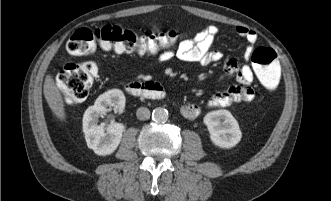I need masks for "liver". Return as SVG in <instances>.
<instances>
[{"instance_id": "liver-1", "label": "liver", "mask_w": 331, "mask_h": 201, "mask_svg": "<svg viewBox=\"0 0 331 201\" xmlns=\"http://www.w3.org/2000/svg\"><path fill=\"white\" fill-rule=\"evenodd\" d=\"M43 92L45 99L54 115L59 120L65 121L66 113L63 97L50 74L45 77Z\"/></svg>"}]
</instances>
